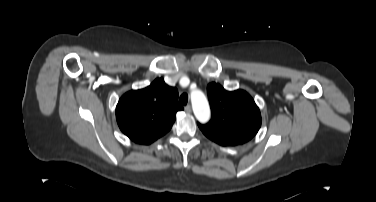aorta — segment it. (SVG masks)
Returning a JSON list of instances; mask_svg holds the SVG:
<instances>
[{
	"label": "aorta",
	"mask_w": 376,
	"mask_h": 202,
	"mask_svg": "<svg viewBox=\"0 0 376 202\" xmlns=\"http://www.w3.org/2000/svg\"><path fill=\"white\" fill-rule=\"evenodd\" d=\"M191 103L196 119L200 123H206L210 119V108L205 95L195 90L191 92Z\"/></svg>",
	"instance_id": "762f6f07"
}]
</instances>
